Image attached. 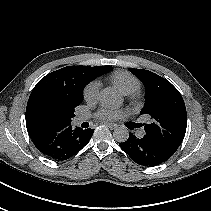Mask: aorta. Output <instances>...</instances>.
<instances>
[{
    "instance_id": "1",
    "label": "aorta",
    "mask_w": 211,
    "mask_h": 211,
    "mask_svg": "<svg viewBox=\"0 0 211 211\" xmlns=\"http://www.w3.org/2000/svg\"><path fill=\"white\" fill-rule=\"evenodd\" d=\"M100 102L104 106H119L122 104V98L109 89H104L100 94ZM113 137L118 142H125L129 138V131L126 127L120 126L114 130Z\"/></svg>"
}]
</instances>
